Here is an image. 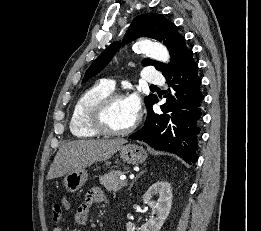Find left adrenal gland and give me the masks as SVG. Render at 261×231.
Segmentation results:
<instances>
[{
    "mask_svg": "<svg viewBox=\"0 0 261 231\" xmlns=\"http://www.w3.org/2000/svg\"><path fill=\"white\" fill-rule=\"evenodd\" d=\"M146 172V170H142L137 176H136V178L132 181V183H131V185H130V187L128 188V190H131V188L133 187V184H134V182L139 178V176H141L143 173H145Z\"/></svg>",
    "mask_w": 261,
    "mask_h": 231,
    "instance_id": "obj_1",
    "label": "left adrenal gland"
}]
</instances>
